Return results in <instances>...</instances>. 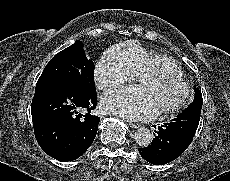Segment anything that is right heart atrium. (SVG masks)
<instances>
[{
  "label": "right heart atrium",
  "instance_id": "1",
  "mask_svg": "<svg viewBox=\"0 0 230 181\" xmlns=\"http://www.w3.org/2000/svg\"><path fill=\"white\" fill-rule=\"evenodd\" d=\"M94 74L96 84L101 89L118 87L130 76L108 62L107 58L97 64Z\"/></svg>",
  "mask_w": 230,
  "mask_h": 181
}]
</instances>
